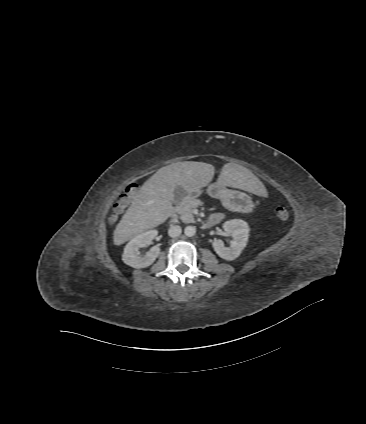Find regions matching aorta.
Instances as JSON below:
<instances>
[{"instance_id": "1", "label": "aorta", "mask_w": 366, "mask_h": 424, "mask_svg": "<svg viewBox=\"0 0 366 424\" xmlns=\"http://www.w3.org/2000/svg\"><path fill=\"white\" fill-rule=\"evenodd\" d=\"M196 233V228L194 226H187L184 229V234L188 237L194 236Z\"/></svg>"}]
</instances>
